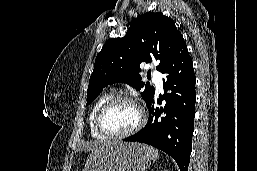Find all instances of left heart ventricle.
<instances>
[{
	"mask_svg": "<svg viewBox=\"0 0 257 171\" xmlns=\"http://www.w3.org/2000/svg\"><path fill=\"white\" fill-rule=\"evenodd\" d=\"M139 121L137 108L127 102L111 107L104 115L102 124L104 128L114 134L131 130Z\"/></svg>",
	"mask_w": 257,
	"mask_h": 171,
	"instance_id": "obj_1",
	"label": "left heart ventricle"
}]
</instances>
